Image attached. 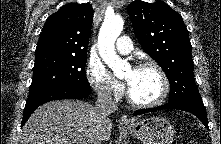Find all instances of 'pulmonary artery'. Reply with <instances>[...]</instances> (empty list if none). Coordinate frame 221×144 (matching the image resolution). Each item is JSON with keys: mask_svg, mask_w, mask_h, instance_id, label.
I'll list each match as a JSON object with an SVG mask.
<instances>
[{"mask_svg": "<svg viewBox=\"0 0 221 144\" xmlns=\"http://www.w3.org/2000/svg\"><path fill=\"white\" fill-rule=\"evenodd\" d=\"M116 49L121 54H128L132 51L133 45L129 37L121 36L116 41Z\"/></svg>", "mask_w": 221, "mask_h": 144, "instance_id": "1", "label": "pulmonary artery"}]
</instances>
